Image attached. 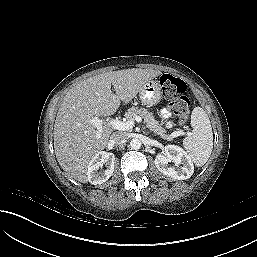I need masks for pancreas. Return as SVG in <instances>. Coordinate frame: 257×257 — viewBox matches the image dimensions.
Segmentation results:
<instances>
[{
	"mask_svg": "<svg viewBox=\"0 0 257 257\" xmlns=\"http://www.w3.org/2000/svg\"><path fill=\"white\" fill-rule=\"evenodd\" d=\"M136 116L142 117L149 130L152 131L155 135H159L161 138L166 140H170L172 138L171 136L165 134L166 129L161 127L159 122L155 120L153 114L147 109L131 107L125 113V117L127 118V120H133Z\"/></svg>",
	"mask_w": 257,
	"mask_h": 257,
	"instance_id": "pancreas-1",
	"label": "pancreas"
}]
</instances>
